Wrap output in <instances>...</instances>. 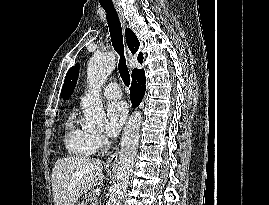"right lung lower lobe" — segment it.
<instances>
[{
	"label": "right lung lower lobe",
	"mask_w": 269,
	"mask_h": 205,
	"mask_svg": "<svg viewBox=\"0 0 269 205\" xmlns=\"http://www.w3.org/2000/svg\"><path fill=\"white\" fill-rule=\"evenodd\" d=\"M146 78L144 75V71H138L134 75H132V85L130 87V99L132 102V106L137 107L142 98L144 96L146 90Z\"/></svg>",
	"instance_id": "right-lung-lower-lobe-1"
}]
</instances>
